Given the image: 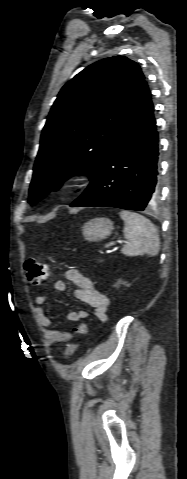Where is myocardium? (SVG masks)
Here are the masks:
<instances>
[{"mask_svg":"<svg viewBox=\"0 0 187 479\" xmlns=\"http://www.w3.org/2000/svg\"><path fill=\"white\" fill-rule=\"evenodd\" d=\"M87 175L84 172L78 171L66 175L60 182V188L63 190L76 189L84 184Z\"/></svg>","mask_w":187,"mask_h":479,"instance_id":"1","label":"myocardium"}]
</instances>
